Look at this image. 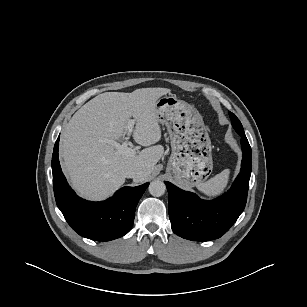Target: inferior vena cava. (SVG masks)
Masks as SVG:
<instances>
[{
    "mask_svg": "<svg viewBox=\"0 0 307 307\" xmlns=\"http://www.w3.org/2000/svg\"><path fill=\"white\" fill-rule=\"evenodd\" d=\"M123 175L126 177V178H136L137 176H139V172L136 170V169H133V168H128V169H125L123 171Z\"/></svg>",
    "mask_w": 307,
    "mask_h": 307,
    "instance_id": "obj_1",
    "label": "inferior vena cava"
}]
</instances>
